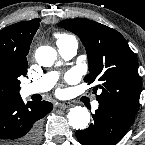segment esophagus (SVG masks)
Returning <instances> with one entry per match:
<instances>
[{"mask_svg": "<svg viewBox=\"0 0 145 145\" xmlns=\"http://www.w3.org/2000/svg\"><path fill=\"white\" fill-rule=\"evenodd\" d=\"M57 106L60 109H67L71 107V104L69 102H60Z\"/></svg>", "mask_w": 145, "mask_h": 145, "instance_id": "1", "label": "esophagus"}]
</instances>
